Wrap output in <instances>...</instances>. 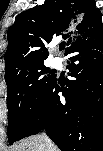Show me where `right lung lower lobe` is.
<instances>
[{"label":"right lung lower lobe","instance_id":"98d812e1","mask_svg":"<svg viewBox=\"0 0 103 151\" xmlns=\"http://www.w3.org/2000/svg\"><path fill=\"white\" fill-rule=\"evenodd\" d=\"M65 55L73 79H54L20 139L45 130L62 151L94 150L102 134L103 26L75 40Z\"/></svg>","mask_w":103,"mask_h":151}]
</instances>
